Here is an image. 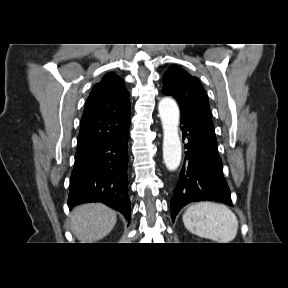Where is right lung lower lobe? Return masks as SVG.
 <instances>
[{"mask_svg": "<svg viewBox=\"0 0 288 288\" xmlns=\"http://www.w3.org/2000/svg\"><path fill=\"white\" fill-rule=\"evenodd\" d=\"M128 130L75 155L68 198L69 208L101 202L121 212L130 221L128 196Z\"/></svg>", "mask_w": 288, "mask_h": 288, "instance_id": "obj_1", "label": "right lung lower lobe"}]
</instances>
